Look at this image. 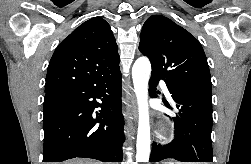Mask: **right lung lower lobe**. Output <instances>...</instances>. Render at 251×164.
Masks as SVG:
<instances>
[{"mask_svg":"<svg viewBox=\"0 0 251 164\" xmlns=\"http://www.w3.org/2000/svg\"><path fill=\"white\" fill-rule=\"evenodd\" d=\"M45 93L43 162L75 157L122 161L125 137L119 68ZM98 107L102 109L93 112Z\"/></svg>","mask_w":251,"mask_h":164,"instance_id":"1","label":"right lung lower lobe"}]
</instances>
